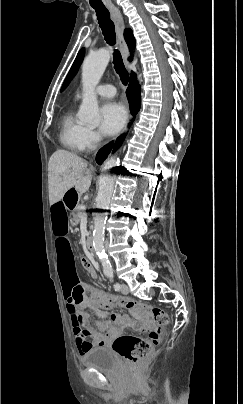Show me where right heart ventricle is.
I'll list each match as a JSON object with an SVG mask.
<instances>
[{"instance_id":"1","label":"right heart ventricle","mask_w":243,"mask_h":404,"mask_svg":"<svg viewBox=\"0 0 243 404\" xmlns=\"http://www.w3.org/2000/svg\"><path fill=\"white\" fill-rule=\"evenodd\" d=\"M85 126L75 117L73 109L67 110L60 119L59 143L63 149L81 153Z\"/></svg>"}]
</instances>
